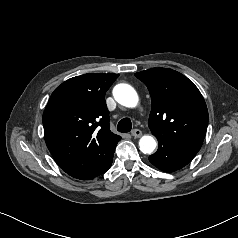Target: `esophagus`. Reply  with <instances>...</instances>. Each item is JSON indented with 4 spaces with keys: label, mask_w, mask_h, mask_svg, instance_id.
Returning <instances> with one entry per match:
<instances>
[{
    "label": "esophagus",
    "mask_w": 238,
    "mask_h": 238,
    "mask_svg": "<svg viewBox=\"0 0 238 238\" xmlns=\"http://www.w3.org/2000/svg\"><path fill=\"white\" fill-rule=\"evenodd\" d=\"M131 135L135 138H138L142 135V132L139 129H134V130L131 131Z\"/></svg>",
    "instance_id": "esophagus-1"
}]
</instances>
